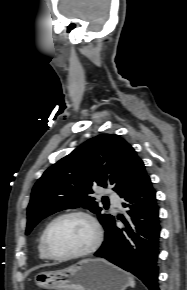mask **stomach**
<instances>
[{
	"label": "stomach",
	"mask_w": 187,
	"mask_h": 290,
	"mask_svg": "<svg viewBox=\"0 0 187 290\" xmlns=\"http://www.w3.org/2000/svg\"><path fill=\"white\" fill-rule=\"evenodd\" d=\"M46 290H126L129 276L105 259H84L68 268L35 275Z\"/></svg>",
	"instance_id": "1"
}]
</instances>
